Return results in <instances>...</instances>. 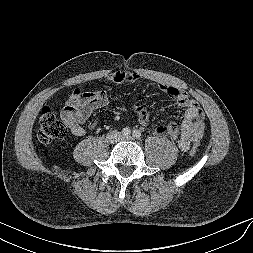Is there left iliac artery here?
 <instances>
[{
	"mask_svg": "<svg viewBox=\"0 0 253 253\" xmlns=\"http://www.w3.org/2000/svg\"><path fill=\"white\" fill-rule=\"evenodd\" d=\"M132 136L136 139L141 138V132L139 130H134Z\"/></svg>",
	"mask_w": 253,
	"mask_h": 253,
	"instance_id": "1",
	"label": "left iliac artery"
}]
</instances>
